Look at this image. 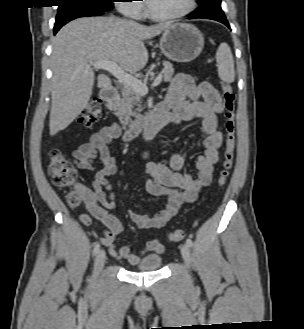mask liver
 Wrapping results in <instances>:
<instances>
[{
  "label": "liver",
  "instance_id": "obj_1",
  "mask_svg": "<svg viewBox=\"0 0 304 329\" xmlns=\"http://www.w3.org/2000/svg\"><path fill=\"white\" fill-rule=\"evenodd\" d=\"M170 24L145 26L114 17H86L71 21L53 39L52 106L49 130L54 136L68 127L86 108L95 74L91 63L115 62L126 72L143 69L148 61L144 40L165 31ZM98 86L109 88L108 76Z\"/></svg>",
  "mask_w": 304,
  "mask_h": 329
}]
</instances>
